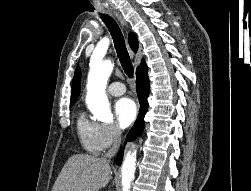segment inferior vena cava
Wrapping results in <instances>:
<instances>
[{
	"instance_id": "602c4592",
	"label": "inferior vena cava",
	"mask_w": 251,
	"mask_h": 191,
	"mask_svg": "<svg viewBox=\"0 0 251 191\" xmlns=\"http://www.w3.org/2000/svg\"><path fill=\"white\" fill-rule=\"evenodd\" d=\"M113 137H114V141H113V145L111 147V149H109V151H107V153H105L104 157H102L103 161H105V163H109L110 159L109 157H113V155H115V153H117L118 149H119V145L121 143V129L119 127V125H114L113 127Z\"/></svg>"
}]
</instances>
